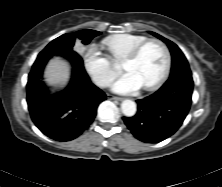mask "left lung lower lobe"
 I'll return each instance as SVG.
<instances>
[{"label":"left lung lower lobe","mask_w":222,"mask_h":187,"mask_svg":"<svg viewBox=\"0 0 222 187\" xmlns=\"http://www.w3.org/2000/svg\"><path fill=\"white\" fill-rule=\"evenodd\" d=\"M193 92L191 72L169 78L154 94L137 100V112L123 120L140 141L158 143L173 135L187 116Z\"/></svg>","instance_id":"left-lung-lower-lobe-1"}]
</instances>
